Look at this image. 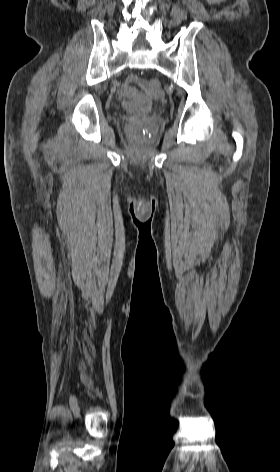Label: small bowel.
I'll return each mask as SVG.
<instances>
[{
	"instance_id": "c3829d8e",
	"label": "small bowel",
	"mask_w": 280,
	"mask_h": 472,
	"mask_svg": "<svg viewBox=\"0 0 280 472\" xmlns=\"http://www.w3.org/2000/svg\"><path fill=\"white\" fill-rule=\"evenodd\" d=\"M134 84L147 88V82L145 80L140 79L139 77L135 75H131L127 78V80L123 84L122 89H121L122 93L132 92L133 91L132 85Z\"/></svg>"
}]
</instances>
